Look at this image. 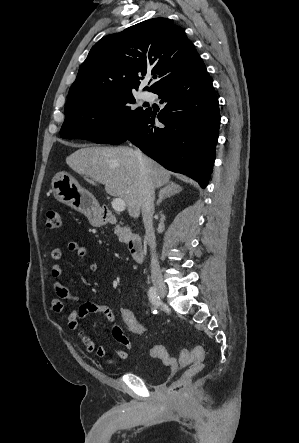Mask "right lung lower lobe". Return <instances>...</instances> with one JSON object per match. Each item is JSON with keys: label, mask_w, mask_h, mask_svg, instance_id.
<instances>
[{"label": "right lung lower lobe", "mask_w": 299, "mask_h": 443, "mask_svg": "<svg viewBox=\"0 0 299 443\" xmlns=\"http://www.w3.org/2000/svg\"><path fill=\"white\" fill-rule=\"evenodd\" d=\"M165 103L154 124L155 112L147 109L109 141H131L167 169L208 183L215 160L220 124L219 104L211 78L203 69L175 79L155 92Z\"/></svg>", "instance_id": "obj_1"}]
</instances>
